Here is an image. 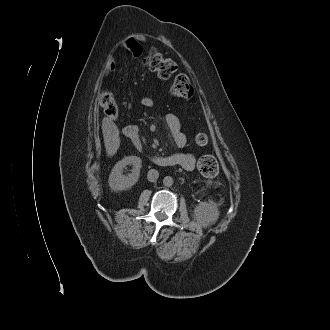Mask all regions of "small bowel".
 <instances>
[{"label":"small bowel","mask_w":330,"mask_h":330,"mask_svg":"<svg viewBox=\"0 0 330 330\" xmlns=\"http://www.w3.org/2000/svg\"><path fill=\"white\" fill-rule=\"evenodd\" d=\"M122 46L127 49L131 55L138 58L142 54V46L140 42L135 38H128L123 41ZM116 61L113 55L108 57L107 70L109 72L115 71ZM143 106L150 108L153 106V99L150 97H144L141 100ZM166 125L173 137V140L178 148H184L187 142L186 136L181 128L179 118L174 114H168L165 118ZM167 158L170 160L172 165L179 166L187 171L192 170L195 166V157L187 152L173 153Z\"/></svg>","instance_id":"1"}]
</instances>
